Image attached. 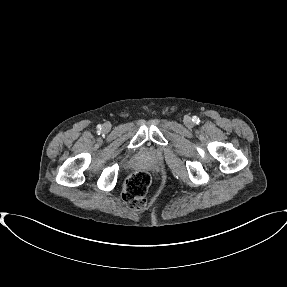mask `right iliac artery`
<instances>
[{"label":"right iliac artery","instance_id":"right-iliac-artery-1","mask_svg":"<svg viewBox=\"0 0 287 287\" xmlns=\"http://www.w3.org/2000/svg\"><path fill=\"white\" fill-rule=\"evenodd\" d=\"M98 128L101 129V125H98Z\"/></svg>","mask_w":287,"mask_h":287}]
</instances>
